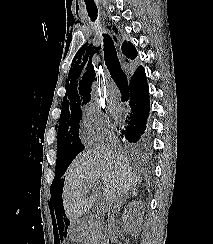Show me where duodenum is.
<instances>
[{"label": "duodenum", "instance_id": "1", "mask_svg": "<svg viewBox=\"0 0 213 244\" xmlns=\"http://www.w3.org/2000/svg\"><path fill=\"white\" fill-rule=\"evenodd\" d=\"M104 220L109 224L110 223V217L109 216H105L104 217ZM109 238H111L112 239V236H109Z\"/></svg>", "mask_w": 213, "mask_h": 244}]
</instances>
